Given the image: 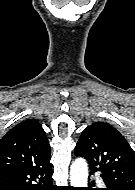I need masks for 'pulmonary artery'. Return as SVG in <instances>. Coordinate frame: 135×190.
I'll return each instance as SVG.
<instances>
[{"label": "pulmonary artery", "instance_id": "e3ab8cb5", "mask_svg": "<svg viewBox=\"0 0 135 190\" xmlns=\"http://www.w3.org/2000/svg\"><path fill=\"white\" fill-rule=\"evenodd\" d=\"M99 184L102 185V180L101 179H99Z\"/></svg>", "mask_w": 135, "mask_h": 190}]
</instances>
